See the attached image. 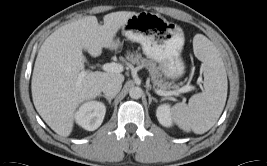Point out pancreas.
Here are the masks:
<instances>
[{"label": "pancreas", "instance_id": "obj_1", "mask_svg": "<svg viewBox=\"0 0 267 166\" xmlns=\"http://www.w3.org/2000/svg\"><path fill=\"white\" fill-rule=\"evenodd\" d=\"M126 59L132 64L145 67L151 76L153 85L159 88L161 91H166L167 89L172 87L171 83L166 82L162 78V74L160 72L161 71L160 66H157L156 63L153 62L152 60L143 58L139 53H131V54L128 53Z\"/></svg>", "mask_w": 267, "mask_h": 166}]
</instances>
